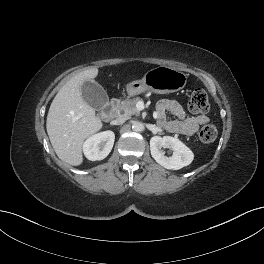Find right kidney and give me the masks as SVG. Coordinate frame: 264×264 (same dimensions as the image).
Instances as JSON below:
<instances>
[{"label":"right kidney","mask_w":264,"mask_h":264,"mask_svg":"<svg viewBox=\"0 0 264 264\" xmlns=\"http://www.w3.org/2000/svg\"><path fill=\"white\" fill-rule=\"evenodd\" d=\"M115 141L112 131H103L90 136L83 144V152L91 161L103 160L111 152Z\"/></svg>","instance_id":"right-kidney-1"}]
</instances>
